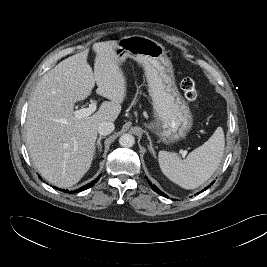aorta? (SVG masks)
<instances>
[{
    "label": "aorta",
    "mask_w": 267,
    "mask_h": 267,
    "mask_svg": "<svg viewBox=\"0 0 267 267\" xmlns=\"http://www.w3.org/2000/svg\"><path fill=\"white\" fill-rule=\"evenodd\" d=\"M135 143V138L133 137V135L131 134H123L120 138H119V144L122 147H132Z\"/></svg>",
    "instance_id": "obj_1"
}]
</instances>
